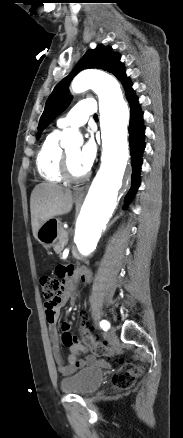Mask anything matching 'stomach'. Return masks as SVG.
<instances>
[{
	"mask_svg": "<svg viewBox=\"0 0 183 438\" xmlns=\"http://www.w3.org/2000/svg\"><path fill=\"white\" fill-rule=\"evenodd\" d=\"M61 231V222L58 219H49L40 226L37 240L45 249H50L57 243Z\"/></svg>",
	"mask_w": 183,
	"mask_h": 438,
	"instance_id": "1",
	"label": "stomach"
}]
</instances>
